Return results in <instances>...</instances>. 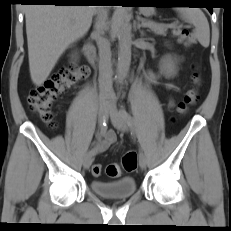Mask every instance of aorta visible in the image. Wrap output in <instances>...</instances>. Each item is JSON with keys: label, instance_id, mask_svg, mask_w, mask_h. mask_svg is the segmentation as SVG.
Listing matches in <instances>:
<instances>
[{"label": "aorta", "instance_id": "1", "mask_svg": "<svg viewBox=\"0 0 231 231\" xmlns=\"http://www.w3.org/2000/svg\"><path fill=\"white\" fill-rule=\"evenodd\" d=\"M119 46H118V66L117 80L122 82L129 70L131 63V26L128 21L126 8L119 9Z\"/></svg>", "mask_w": 231, "mask_h": 231}]
</instances>
